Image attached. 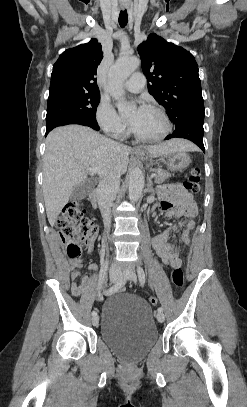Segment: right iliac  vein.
Returning a JSON list of instances; mask_svg holds the SVG:
<instances>
[{
  "instance_id": "1",
  "label": "right iliac vein",
  "mask_w": 247,
  "mask_h": 407,
  "mask_svg": "<svg viewBox=\"0 0 247 407\" xmlns=\"http://www.w3.org/2000/svg\"><path fill=\"white\" fill-rule=\"evenodd\" d=\"M109 276H110V280H111L112 283L119 282L121 277H122L121 271L115 265L111 267L110 272H109ZM92 324L94 326H98V324H99V317L98 316H94L92 318Z\"/></svg>"
}]
</instances>
